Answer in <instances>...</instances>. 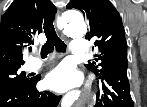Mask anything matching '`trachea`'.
<instances>
[{"label": "trachea", "instance_id": "1", "mask_svg": "<svg viewBox=\"0 0 147 107\" xmlns=\"http://www.w3.org/2000/svg\"><path fill=\"white\" fill-rule=\"evenodd\" d=\"M44 33L46 35L47 41L41 48V56L46 57L50 51L57 49V51H65L66 45L65 43L57 36L53 20L50 18H46L44 20Z\"/></svg>", "mask_w": 147, "mask_h": 107}]
</instances>
